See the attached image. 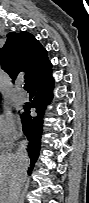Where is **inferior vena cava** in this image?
I'll use <instances>...</instances> for the list:
<instances>
[{
    "label": "inferior vena cava",
    "mask_w": 89,
    "mask_h": 203,
    "mask_svg": "<svg viewBox=\"0 0 89 203\" xmlns=\"http://www.w3.org/2000/svg\"><path fill=\"white\" fill-rule=\"evenodd\" d=\"M27 144L28 142L26 140H23L20 142L17 152H16V156L19 159L20 162V175H21V179L18 182L15 194H14V199H13V203H20L19 202V194L21 192V187L22 184L24 182L23 177L26 174L27 168H28V153H27Z\"/></svg>",
    "instance_id": "602c4592"
}]
</instances>
